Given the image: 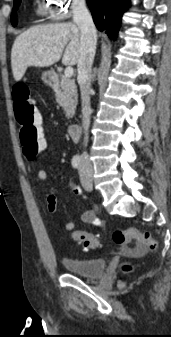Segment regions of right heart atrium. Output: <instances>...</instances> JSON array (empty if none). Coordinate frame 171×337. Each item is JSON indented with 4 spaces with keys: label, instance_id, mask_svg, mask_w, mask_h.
Wrapping results in <instances>:
<instances>
[{
    "label": "right heart atrium",
    "instance_id": "d8ad5b80",
    "mask_svg": "<svg viewBox=\"0 0 171 337\" xmlns=\"http://www.w3.org/2000/svg\"><path fill=\"white\" fill-rule=\"evenodd\" d=\"M83 4L84 0H44L43 10L51 19L62 20L81 8Z\"/></svg>",
    "mask_w": 171,
    "mask_h": 337
}]
</instances>
